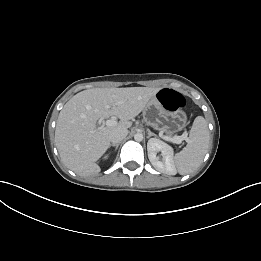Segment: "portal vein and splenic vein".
Masks as SVG:
<instances>
[{
    "label": "portal vein and splenic vein",
    "instance_id": "portal-vein-and-splenic-vein-1",
    "mask_svg": "<svg viewBox=\"0 0 261 261\" xmlns=\"http://www.w3.org/2000/svg\"><path fill=\"white\" fill-rule=\"evenodd\" d=\"M107 108H110V106H107ZM117 124V121L115 120V118H111L109 120L106 121V126H115ZM162 139L165 140V141H170V142H173V143H176V144H180L183 140L182 137L180 136H176V137H173V138H170V137H167V136H164V135H161ZM187 140V139H185Z\"/></svg>",
    "mask_w": 261,
    "mask_h": 261
}]
</instances>
